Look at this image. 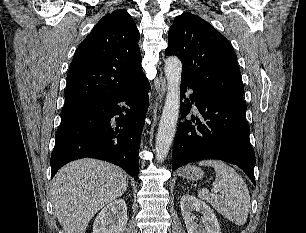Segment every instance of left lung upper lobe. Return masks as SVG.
Listing matches in <instances>:
<instances>
[{
    "instance_id": "5c2ea615",
    "label": "left lung upper lobe",
    "mask_w": 306,
    "mask_h": 233,
    "mask_svg": "<svg viewBox=\"0 0 306 233\" xmlns=\"http://www.w3.org/2000/svg\"><path fill=\"white\" fill-rule=\"evenodd\" d=\"M165 54L182 61L181 80L204 92L243 98L244 86L232 45L199 16L183 13L174 18Z\"/></svg>"
}]
</instances>
